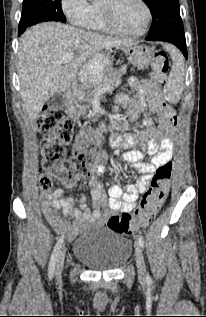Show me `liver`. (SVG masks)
<instances>
[{
	"mask_svg": "<svg viewBox=\"0 0 206 317\" xmlns=\"http://www.w3.org/2000/svg\"><path fill=\"white\" fill-rule=\"evenodd\" d=\"M133 41L106 37L67 24L45 22L20 37L18 77L27 114L34 120L42 106L57 93H69L83 64L107 48L125 50ZM73 59L60 63L67 52Z\"/></svg>",
	"mask_w": 206,
	"mask_h": 317,
	"instance_id": "6515ba94",
	"label": "liver"
}]
</instances>
